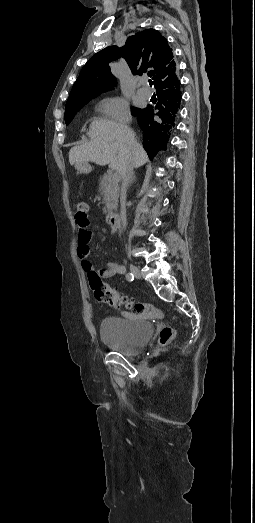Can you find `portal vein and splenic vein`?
I'll use <instances>...</instances> for the list:
<instances>
[{
    "label": "portal vein and splenic vein",
    "instance_id": "1",
    "mask_svg": "<svg viewBox=\"0 0 255 523\" xmlns=\"http://www.w3.org/2000/svg\"><path fill=\"white\" fill-rule=\"evenodd\" d=\"M109 173H110L111 175H115V174H117V167H116L115 165H112V166L110 167Z\"/></svg>",
    "mask_w": 255,
    "mask_h": 523
}]
</instances>
